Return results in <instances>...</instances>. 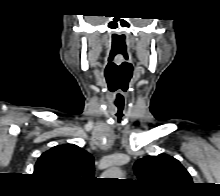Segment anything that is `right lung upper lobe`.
<instances>
[{"mask_svg":"<svg viewBox=\"0 0 220 196\" xmlns=\"http://www.w3.org/2000/svg\"><path fill=\"white\" fill-rule=\"evenodd\" d=\"M34 174L61 184H80L94 178V158L74 144L58 145L39 157Z\"/></svg>","mask_w":220,"mask_h":196,"instance_id":"1","label":"right lung upper lobe"}]
</instances>
